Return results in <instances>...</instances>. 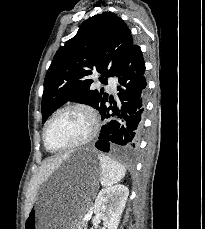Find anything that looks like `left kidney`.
I'll use <instances>...</instances> for the list:
<instances>
[{"instance_id":"5707ae66","label":"left kidney","mask_w":205,"mask_h":229,"mask_svg":"<svg viewBox=\"0 0 205 229\" xmlns=\"http://www.w3.org/2000/svg\"><path fill=\"white\" fill-rule=\"evenodd\" d=\"M128 195V188L117 184L102 189L96 197L93 207L94 214L96 218L104 222L108 229L118 228Z\"/></svg>"}]
</instances>
